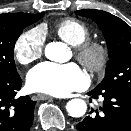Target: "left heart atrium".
Returning <instances> with one entry per match:
<instances>
[{
    "mask_svg": "<svg viewBox=\"0 0 131 131\" xmlns=\"http://www.w3.org/2000/svg\"><path fill=\"white\" fill-rule=\"evenodd\" d=\"M87 84L86 75L74 63L61 65L44 62L31 69L27 75L30 90L55 96H66L84 89Z\"/></svg>",
    "mask_w": 131,
    "mask_h": 131,
    "instance_id": "left-heart-atrium-1",
    "label": "left heart atrium"
}]
</instances>
